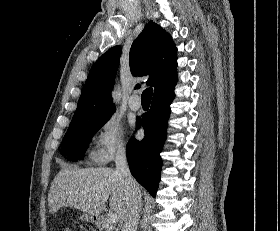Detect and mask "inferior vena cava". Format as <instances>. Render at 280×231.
<instances>
[{"instance_id": "obj_1", "label": "inferior vena cava", "mask_w": 280, "mask_h": 231, "mask_svg": "<svg viewBox=\"0 0 280 231\" xmlns=\"http://www.w3.org/2000/svg\"><path fill=\"white\" fill-rule=\"evenodd\" d=\"M115 163L117 175H121L125 183L131 185L133 189L131 209L122 231H137V221L141 217L142 211V197L140 187L130 173L126 157V147H124L123 143L118 147Z\"/></svg>"}]
</instances>
